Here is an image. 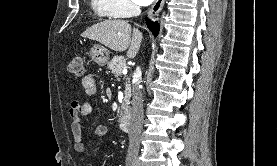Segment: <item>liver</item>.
<instances>
[{"instance_id":"1","label":"liver","mask_w":277,"mask_h":166,"mask_svg":"<svg viewBox=\"0 0 277 166\" xmlns=\"http://www.w3.org/2000/svg\"><path fill=\"white\" fill-rule=\"evenodd\" d=\"M82 37L97 41L111 50L117 52L127 51L128 58H134L143 39L142 33L120 19H109L97 23L86 29Z\"/></svg>"}]
</instances>
